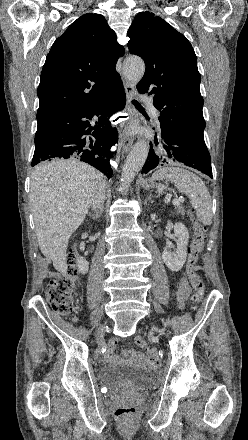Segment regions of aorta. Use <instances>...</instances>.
I'll list each match as a JSON object with an SVG mask.
<instances>
[{
	"label": "aorta",
	"instance_id": "1",
	"mask_svg": "<svg viewBox=\"0 0 248 440\" xmlns=\"http://www.w3.org/2000/svg\"><path fill=\"white\" fill-rule=\"evenodd\" d=\"M145 72L144 61L139 57H129L125 60L123 73L131 82L137 84ZM148 156V144L145 140L139 139L129 153L122 168L121 183L127 189L138 172L142 169Z\"/></svg>",
	"mask_w": 248,
	"mask_h": 440
}]
</instances>
